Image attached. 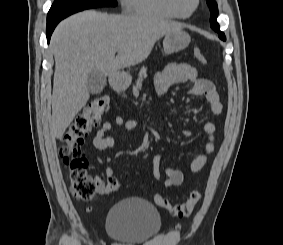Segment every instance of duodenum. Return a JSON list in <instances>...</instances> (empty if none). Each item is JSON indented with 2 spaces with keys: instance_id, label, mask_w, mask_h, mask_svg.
Returning a JSON list of instances; mask_svg holds the SVG:
<instances>
[{
  "instance_id": "obj_1",
  "label": "duodenum",
  "mask_w": 283,
  "mask_h": 245,
  "mask_svg": "<svg viewBox=\"0 0 283 245\" xmlns=\"http://www.w3.org/2000/svg\"><path fill=\"white\" fill-rule=\"evenodd\" d=\"M113 87L115 90L121 91L125 88V78L122 75H117L113 79Z\"/></svg>"
}]
</instances>
